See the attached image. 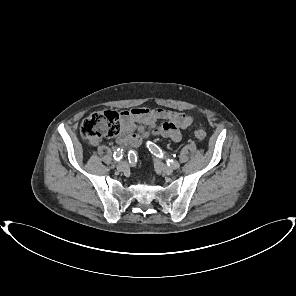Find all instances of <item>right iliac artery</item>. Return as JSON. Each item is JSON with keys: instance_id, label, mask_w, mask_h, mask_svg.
Instances as JSON below:
<instances>
[{"instance_id": "1", "label": "right iliac artery", "mask_w": 296, "mask_h": 296, "mask_svg": "<svg viewBox=\"0 0 296 296\" xmlns=\"http://www.w3.org/2000/svg\"><path fill=\"white\" fill-rule=\"evenodd\" d=\"M122 154H123V150L118 148L117 151H115V153H114V159L116 161H119L123 156Z\"/></svg>"}]
</instances>
